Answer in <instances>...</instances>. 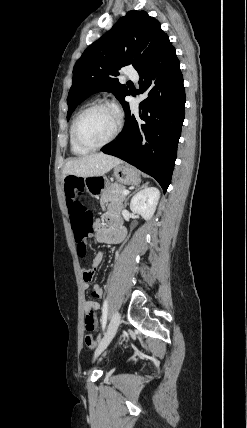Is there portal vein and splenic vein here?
I'll return each instance as SVG.
<instances>
[{
	"label": "portal vein and splenic vein",
	"instance_id": "portal-vein-and-splenic-vein-1",
	"mask_svg": "<svg viewBox=\"0 0 247 428\" xmlns=\"http://www.w3.org/2000/svg\"><path fill=\"white\" fill-rule=\"evenodd\" d=\"M122 194L123 195H127V194H129V191L125 189V190L122 191Z\"/></svg>",
	"mask_w": 247,
	"mask_h": 428
}]
</instances>
